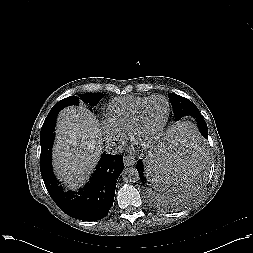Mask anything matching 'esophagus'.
I'll return each instance as SVG.
<instances>
[{"label": "esophagus", "mask_w": 253, "mask_h": 253, "mask_svg": "<svg viewBox=\"0 0 253 253\" xmlns=\"http://www.w3.org/2000/svg\"><path fill=\"white\" fill-rule=\"evenodd\" d=\"M123 161L126 167L133 166L136 162L134 157L129 156V155L125 156Z\"/></svg>", "instance_id": "esophagus-1"}]
</instances>
